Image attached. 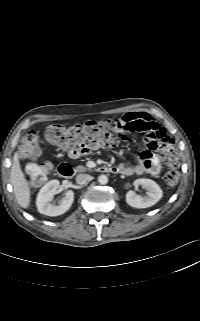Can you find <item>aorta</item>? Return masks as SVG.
Returning a JSON list of instances; mask_svg holds the SVG:
<instances>
[{
    "instance_id": "762f6f07",
    "label": "aorta",
    "mask_w": 200,
    "mask_h": 321,
    "mask_svg": "<svg viewBox=\"0 0 200 321\" xmlns=\"http://www.w3.org/2000/svg\"><path fill=\"white\" fill-rule=\"evenodd\" d=\"M98 182L101 184V185H105L108 183V177L104 174L100 175L98 177Z\"/></svg>"
}]
</instances>
